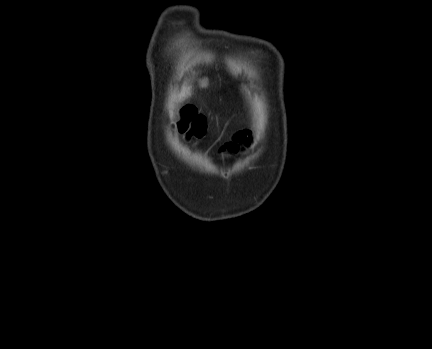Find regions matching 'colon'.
Segmentation results:
<instances>
[{"mask_svg":"<svg viewBox=\"0 0 432 349\" xmlns=\"http://www.w3.org/2000/svg\"><path fill=\"white\" fill-rule=\"evenodd\" d=\"M180 129L194 136H202L206 130L205 118L192 107H186L183 110V119L180 122Z\"/></svg>","mask_w":432,"mask_h":349,"instance_id":"obj_1","label":"colon"}]
</instances>
